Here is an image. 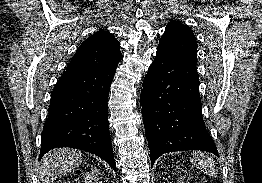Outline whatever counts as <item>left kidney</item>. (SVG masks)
<instances>
[{"mask_svg": "<svg viewBox=\"0 0 262 183\" xmlns=\"http://www.w3.org/2000/svg\"><path fill=\"white\" fill-rule=\"evenodd\" d=\"M183 178H184V177H182V179H183ZM191 178H193V177H191ZM188 180H190V176H189V178H187V182H186V183H189ZM180 183H184L183 180L180 181Z\"/></svg>", "mask_w": 262, "mask_h": 183, "instance_id": "left-kidney-1", "label": "left kidney"}]
</instances>
